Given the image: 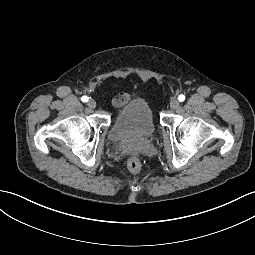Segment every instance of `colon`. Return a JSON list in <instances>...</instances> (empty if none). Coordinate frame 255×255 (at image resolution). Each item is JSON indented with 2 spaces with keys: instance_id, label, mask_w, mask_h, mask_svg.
Returning <instances> with one entry per match:
<instances>
[{
  "instance_id": "colon-1",
  "label": "colon",
  "mask_w": 255,
  "mask_h": 255,
  "mask_svg": "<svg viewBox=\"0 0 255 255\" xmlns=\"http://www.w3.org/2000/svg\"><path fill=\"white\" fill-rule=\"evenodd\" d=\"M127 167L129 169V171L133 174H137L140 172L141 170V162L139 161L138 158L136 157H131L129 160H128V163H127Z\"/></svg>"
}]
</instances>
